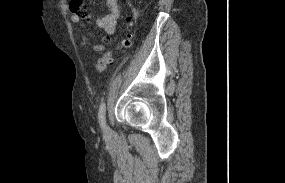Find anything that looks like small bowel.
<instances>
[{"label": "small bowel", "mask_w": 285, "mask_h": 183, "mask_svg": "<svg viewBox=\"0 0 285 183\" xmlns=\"http://www.w3.org/2000/svg\"><path fill=\"white\" fill-rule=\"evenodd\" d=\"M106 4L109 12L95 20L96 27L103 29L105 34L102 35L99 41L90 43V39L93 36L92 32L87 28L90 16L83 10L82 0H71L70 9L72 7L80 9L79 12H73L71 10V21L85 31L84 34L80 36L82 47L91 44L95 51L101 52L105 50L106 45L112 42V36L116 32L117 21L120 17V4L119 0H106Z\"/></svg>", "instance_id": "c3829d8e"}]
</instances>
